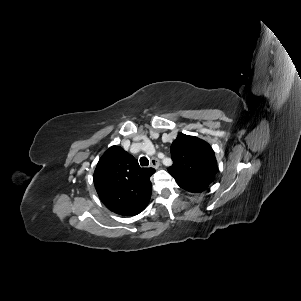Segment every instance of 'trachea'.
Returning <instances> with one entry per match:
<instances>
[{
  "mask_svg": "<svg viewBox=\"0 0 301 301\" xmlns=\"http://www.w3.org/2000/svg\"><path fill=\"white\" fill-rule=\"evenodd\" d=\"M140 164H141V166H148L149 160L145 156H143L140 158Z\"/></svg>",
  "mask_w": 301,
  "mask_h": 301,
  "instance_id": "1",
  "label": "trachea"
}]
</instances>
